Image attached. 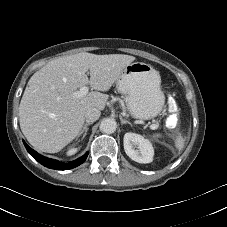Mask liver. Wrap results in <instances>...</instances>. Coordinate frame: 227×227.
<instances>
[{"instance_id": "1", "label": "liver", "mask_w": 227, "mask_h": 227, "mask_svg": "<svg viewBox=\"0 0 227 227\" xmlns=\"http://www.w3.org/2000/svg\"><path fill=\"white\" fill-rule=\"evenodd\" d=\"M134 60L124 54L81 52L43 66L29 79L19 106L20 128L27 141L42 152L62 150L79 135L88 109L105 108L109 96L102 92H107ZM88 84L95 91L74 95Z\"/></svg>"}]
</instances>
